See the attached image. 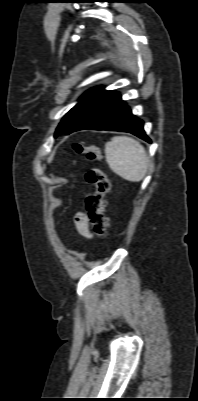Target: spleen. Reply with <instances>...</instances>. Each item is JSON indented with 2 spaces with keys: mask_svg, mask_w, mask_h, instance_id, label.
<instances>
[{
  "mask_svg": "<svg viewBox=\"0 0 198 401\" xmlns=\"http://www.w3.org/2000/svg\"><path fill=\"white\" fill-rule=\"evenodd\" d=\"M105 156L109 168L130 182L141 181L147 172L149 158L144 147L126 136H116L105 145Z\"/></svg>",
  "mask_w": 198,
  "mask_h": 401,
  "instance_id": "3e777b00",
  "label": "spleen"
}]
</instances>
